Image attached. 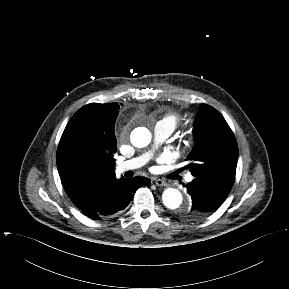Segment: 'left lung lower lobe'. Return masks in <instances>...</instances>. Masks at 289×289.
Listing matches in <instances>:
<instances>
[{"label": "left lung lower lobe", "instance_id": "left-lung-lower-lobe-1", "mask_svg": "<svg viewBox=\"0 0 289 289\" xmlns=\"http://www.w3.org/2000/svg\"><path fill=\"white\" fill-rule=\"evenodd\" d=\"M232 185L210 178H195L187 184L192 206L186 216L199 219L218 208L228 196Z\"/></svg>", "mask_w": 289, "mask_h": 289}]
</instances>
